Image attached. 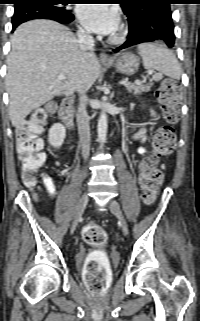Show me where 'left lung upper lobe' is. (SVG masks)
<instances>
[{
	"instance_id": "obj_1",
	"label": "left lung upper lobe",
	"mask_w": 200,
	"mask_h": 321,
	"mask_svg": "<svg viewBox=\"0 0 200 321\" xmlns=\"http://www.w3.org/2000/svg\"><path fill=\"white\" fill-rule=\"evenodd\" d=\"M173 1L174 0H121L120 4L122 6L123 12L126 14L140 10L153 3L165 6L170 9V4L174 3Z\"/></svg>"
}]
</instances>
